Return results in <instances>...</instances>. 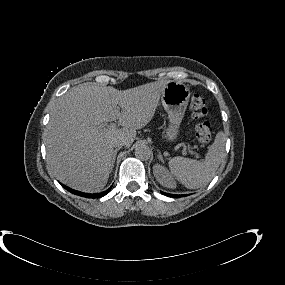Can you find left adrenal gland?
Segmentation results:
<instances>
[{
    "instance_id": "1",
    "label": "left adrenal gland",
    "mask_w": 285,
    "mask_h": 285,
    "mask_svg": "<svg viewBox=\"0 0 285 285\" xmlns=\"http://www.w3.org/2000/svg\"><path fill=\"white\" fill-rule=\"evenodd\" d=\"M157 152H158V158H159L161 161H163V156H162L161 152H160L159 150H157Z\"/></svg>"
}]
</instances>
